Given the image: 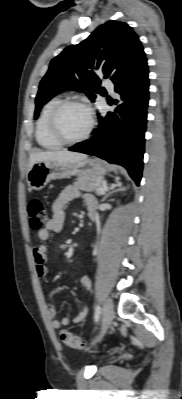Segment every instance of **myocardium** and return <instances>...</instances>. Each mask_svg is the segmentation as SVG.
Instances as JSON below:
<instances>
[{
  "label": "myocardium",
  "mask_w": 182,
  "mask_h": 399,
  "mask_svg": "<svg viewBox=\"0 0 182 399\" xmlns=\"http://www.w3.org/2000/svg\"><path fill=\"white\" fill-rule=\"evenodd\" d=\"M71 105H75V106H80L82 108H84L87 112L88 115V119H89V124L88 127L86 129V131L77 138L74 139H69L67 137H65L59 128V124H58V117L59 114L61 113V111L67 107V106H71ZM95 127V118L92 112V109L90 108V106L85 103L82 100L79 99H65V100H61L52 110L50 117H49V130L50 133L52 134V136L61 144L64 145H72V144H77L80 142L85 141L86 139L89 138V136L91 135V133L93 132Z\"/></svg>",
  "instance_id": "obj_1"
}]
</instances>
